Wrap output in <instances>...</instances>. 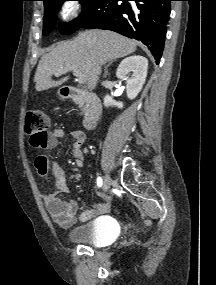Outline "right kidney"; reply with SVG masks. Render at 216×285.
I'll return each mask as SVG.
<instances>
[{
    "label": "right kidney",
    "instance_id": "ca27d5eb",
    "mask_svg": "<svg viewBox=\"0 0 216 285\" xmlns=\"http://www.w3.org/2000/svg\"><path fill=\"white\" fill-rule=\"evenodd\" d=\"M148 69V60L140 55H133L125 58L118 66L116 76L120 80L126 81L127 97L134 99L141 91ZM132 72L131 77L129 73ZM104 106H116L123 108L122 102L114 101L109 95L104 97Z\"/></svg>",
    "mask_w": 216,
    "mask_h": 285
}]
</instances>
